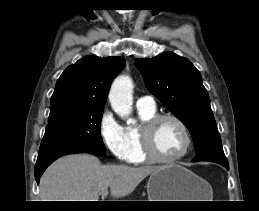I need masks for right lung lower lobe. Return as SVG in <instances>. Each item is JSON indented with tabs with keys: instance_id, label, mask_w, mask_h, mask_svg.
Instances as JSON below:
<instances>
[{
	"instance_id": "right-lung-lower-lobe-1",
	"label": "right lung lower lobe",
	"mask_w": 259,
	"mask_h": 211,
	"mask_svg": "<svg viewBox=\"0 0 259 211\" xmlns=\"http://www.w3.org/2000/svg\"><path fill=\"white\" fill-rule=\"evenodd\" d=\"M73 153H90L98 156H106L105 151L89 150L80 147H65L59 148L41 155H38L37 162L35 165V178L39 184V180L45 169L57 158Z\"/></svg>"
}]
</instances>
